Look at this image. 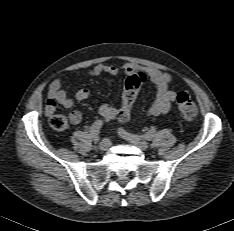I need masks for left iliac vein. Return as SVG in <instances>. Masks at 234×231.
<instances>
[{
	"instance_id": "obj_1",
	"label": "left iliac vein",
	"mask_w": 234,
	"mask_h": 231,
	"mask_svg": "<svg viewBox=\"0 0 234 231\" xmlns=\"http://www.w3.org/2000/svg\"><path fill=\"white\" fill-rule=\"evenodd\" d=\"M129 142L143 151L149 148V144L146 141H142L140 139H132V140H129Z\"/></svg>"
}]
</instances>
